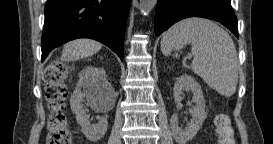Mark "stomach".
<instances>
[{
	"label": "stomach",
	"instance_id": "0dacf381",
	"mask_svg": "<svg viewBox=\"0 0 273 144\" xmlns=\"http://www.w3.org/2000/svg\"><path fill=\"white\" fill-rule=\"evenodd\" d=\"M183 44L182 43H174L171 47V49H180L182 48Z\"/></svg>",
	"mask_w": 273,
	"mask_h": 144
}]
</instances>
